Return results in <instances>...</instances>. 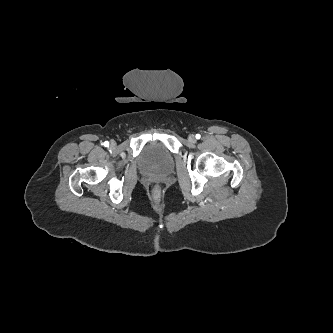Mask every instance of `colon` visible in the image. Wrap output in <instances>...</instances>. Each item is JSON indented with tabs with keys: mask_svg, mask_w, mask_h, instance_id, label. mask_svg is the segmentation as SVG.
<instances>
[{
	"mask_svg": "<svg viewBox=\"0 0 333 333\" xmlns=\"http://www.w3.org/2000/svg\"><path fill=\"white\" fill-rule=\"evenodd\" d=\"M154 191L157 192V193H159L160 192V188L159 187H155Z\"/></svg>",
	"mask_w": 333,
	"mask_h": 333,
	"instance_id": "1",
	"label": "colon"
}]
</instances>
